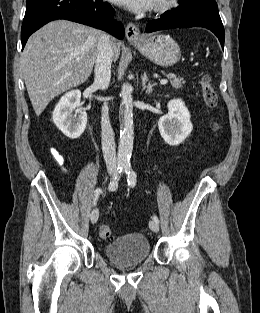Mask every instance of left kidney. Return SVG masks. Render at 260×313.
<instances>
[{
	"mask_svg": "<svg viewBox=\"0 0 260 313\" xmlns=\"http://www.w3.org/2000/svg\"><path fill=\"white\" fill-rule=\"evenodd\" d=\"M167 107L168 114L158 121L159 131L167 144L177 146L190 135L193 129L190 113L181 99L169 101Z\"/></svg>",
	"mask_w": 260,
	"mask_h": 313,
	"instance_id": "1",
	"label": "left kidney"
}]
</instances>
